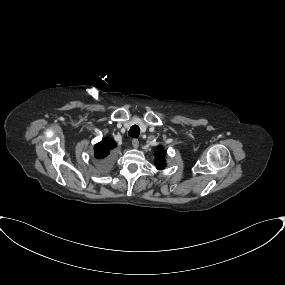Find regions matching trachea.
<instances>
[{
  "mask_svg": "<svg viewBox=\"0 0 285 285\" xmlns=\"http://www.w3.org/2000/svg\"><path fill=\"white\" fill-rule=\"evenodd\" d=\"M140 135V128L138 125L131 126L129 130V136L132 138H137Z\"/></svg>",
  "mask_w": 285,
  "mask_h": 285,
  "instance_id": "1",
  "label": "trachea"
}]
</instances>
